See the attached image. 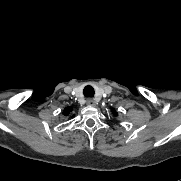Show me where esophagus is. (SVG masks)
I'll return each mask as SVG.
<instances>
[{
  "label": "esophagus",
  "mask_w": 181,
  "mask_h": 181,
  "mask_svg": "<svg viewBox=\"0 0 181 181\" xmlns=\"http://www.w3.org/2000/svg\"><path fill=\"white\" fill-rule=\"evenodd\" d=\"M86 103H87V105H89V106H95V105H96L95 100L92 99V98H88V99L86 100Z\"/></svg>",
  "instance_id": "esophagus-1"
}]
</instances>
